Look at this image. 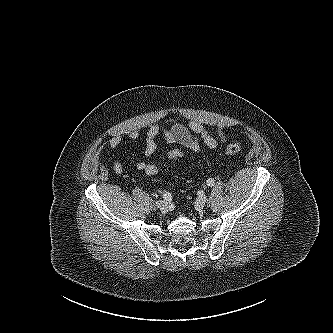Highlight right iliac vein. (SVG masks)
Masks as SVG:
<instances>
[{"instance_id": "obj_1", "label": "right iliac vein", "mask_w": 333, "mask_h": 333, "mask_svg": "<svg viewBox=\"0 0 333 333\" xmlns=\"http://www.w3.org/2000/svg\"><path fill=\"white\" fill-rule=\"evenodd\" d=\"M155 206L161 211H166L168 209V202L165 200H159L155 203Z\"/></svg>"}]
</instances>
